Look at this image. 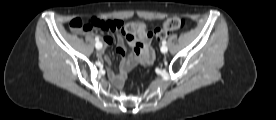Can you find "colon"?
<instances>
[{
	"mask_svg": "<svg viewBox=\"0 0 276 120\" xmlns=\"http://www.w3.org/2000/svg\"><path fill=\"white\" fill-rule=\"evenodd\" d=\"M70 30L74 33H80L89 30L90 28H98L105 31L110 27V24L107 20H104L99 17H93L90 19H73L70 24ZM186 26V20L179 17H170L167 18L162 27L155 30V35L157 38L162 39L167 37L169 34L183 29ZM120 31L128 39H143L148 36L146 25L140 20L130 21L125 24H122Z\"/></svg>",
	"mask_w": 276,
	"mask_h": 120,
	"instance_id": "1",
	"label": "colon"
}]
</instances>
